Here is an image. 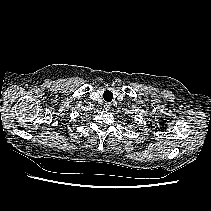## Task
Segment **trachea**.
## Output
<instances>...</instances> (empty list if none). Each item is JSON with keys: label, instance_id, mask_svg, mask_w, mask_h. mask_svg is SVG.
Listing matches in <instances>:
<instances>
[{"label": "trachea", "instance_id": "3493384b", "mask_svg": "<svg viewBox=\"0 0 211 211\" xmlns=\"http://www.w3.org/2000/svg\"><path fill=\"white\" fill-rule=\"evenodd\" d=\"M103 98L106 102H111L112 99H113V94L111 91L109 90H106L104 93H103Z\"/></svg>", "mask_w": 211, "mask_h": 211}]
</instances>
